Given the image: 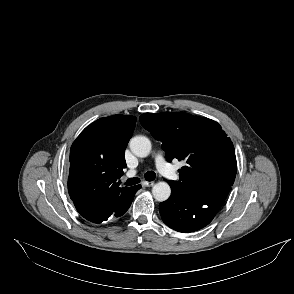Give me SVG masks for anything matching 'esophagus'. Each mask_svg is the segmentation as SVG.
I'll return each mask as SVG.
<instances>
[{
  "mask_svg": "<svg viewBox=\"0 0 294 294\" xmlns=\"http://www.w3.org/2000/svg\"><path fill=\"white\" fill-rule=\"evenodd\" d=\"M142 185H143L144 187H151V186L154 185V182H153V181H143V182H142Z\"/></svg>",
  "mask_w": 294,
  "mask_h": 294,
  "instance_id": "obj_1",
  "label": "esophagus"
}]
</instances>
